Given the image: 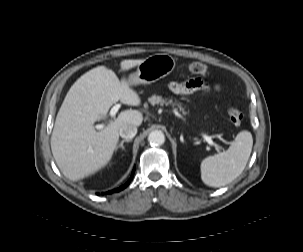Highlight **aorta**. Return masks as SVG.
Returning <instances> with one entry per match:
<instances>
[{"label":"aorta","instance_id":"aorta-1","mask_svg":"<svg viewBox=\"0 0 303 252\" xmlns=\"http://www.w3.org/2000/svg\"><path fill=\"white\" fill-rule=\"evenodd\" d=\"M148 141L151 145L160 146L165 142V135L160 130H154L148 135Z\"/></svg>","mask_w":303,"mask_h":252}]
</instances>
